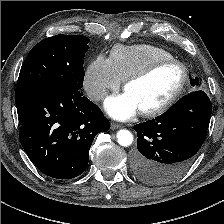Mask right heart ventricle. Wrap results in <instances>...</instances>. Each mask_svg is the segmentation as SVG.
<instances>
[{"label":"right heart ventricle","mask_w":224,"mask_h":224,"mask_svg":"<svg viewBox=\"0 0 224 224\" xmlns=\"http://www.w3.org/2000/svg\"><path fill=\"white\" fill-rule=\"evenodd\" d=\"M171 58L173 55L169 51L149 44L118 45L110 54L112 67L121 81L157 60Z\"/></svg>","instance_id":"right-heart-ventricle-1"}]
</instances>
